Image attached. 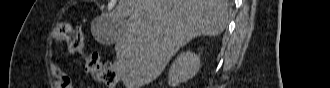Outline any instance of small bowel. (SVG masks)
<instances>
[{
	"label": "small bowel",
	"mask_w": 330,
	"mask_h": 88,
	"mask_svg": "<svg viewBox=\"0 0 330 88\" xmlns=\"http://www.w3.org/2000/svg\"><path fill=\"white\" fill-rule=\"evenodd\" d=\"M50 74L56 79L54 85L57 88H73V80L63 72L59 67L52 66L49 69Z\"/></svg>",
	"instance_id": "obj_1"
}]
</instances>
